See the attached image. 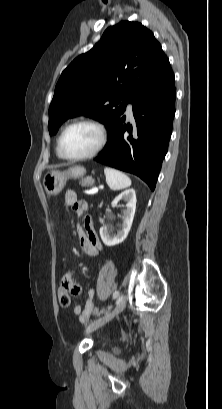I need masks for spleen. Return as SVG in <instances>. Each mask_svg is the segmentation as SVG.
Listing matches in <instances>:
<instances>
[{
    "instance_id": "spleen-1",
    "label": "spleen",
    "mask_w": 222,
    "mask_h": 409,
    "mask_svg": "<svg viewBox=\"0 0 222 409\" xmlns=\"http://www.w3.org/2000/svg\"><path fill=\"white\" fill-rule=\"evenodd\" d=\"M104 173L106 176V182L111 190H121L131 185L130 178L121 171L105 167Z\"/></svg>"
}]
</instances>
